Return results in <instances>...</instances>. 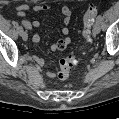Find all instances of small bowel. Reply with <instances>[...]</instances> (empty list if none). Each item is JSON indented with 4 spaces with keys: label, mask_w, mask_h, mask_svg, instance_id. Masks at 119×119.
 Returning a JSON list of instances; mask_svg holds the SVG:
<instances>
[{
    "label": "small bowel",
    "mask_w": 119,
    "mask_h": 119,
    "mask_svg": "<svg viewBox=\"0 0 119 119\" xmlns=\"http://www.w3.org/2000/svg\"><path fill=\"white\" fill-rule=\"evenodd\" d=\"M50 5L48 4H34V5H29V4H21L17 7V14L20 17H24L28 11H34V12H44L48 11L50 9ZM60 10L63 15V23L64 26L62 28V34L65 36L63 39L59 40L58 42L54 43L51 46L52 51H57V50H63L67 47V45L70 43V38L68 37L69 35V24L71 21V10L66 4L60 5ZM23 26L29 30L33 28H38L40 26V22L35 20V21H29L26 19H23L21 21ZM33 43L37 44L40 42V35L38 33H35L32 37ZM33 60L40 66L44 64L43 59L39 57H33ZM57 72L55 71H49L47 73V76L49 78H55L57 76Z\"/></svg>",
    "instance_id": "c3829d8e"
}]
</instances>
